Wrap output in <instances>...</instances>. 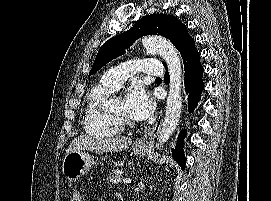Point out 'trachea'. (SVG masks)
<instances>
[{
	"label": "trachea",
	"mask_w": 271,
	"mask_h": 201,
	"mask_svg": "<svg viewBox=\"0 0 271 201\" xmlns=\"http://www.w3.org/2000/svg\"><path fill=\"white\" fill-rule=\"evenodd\" d=\"M156 80H161V78H160V77H157Z\"/></svg>",
	"instance_id": "3493384b"
}]
</instances>
